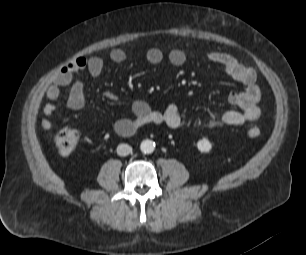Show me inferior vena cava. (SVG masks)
<instances>
[{"instance_id": "1", "label": "inferior vena cava", "mask_w": 306, "mask_h": 255, "mask_svg": "<svg viewBox=\"0 0 306 255\" xmlns=\"http://www.w3.org/2000/svg\"><path fill=\"white\" fill-rule=\"evenodd\" d=\"M132 152V147L128 144H119L117 147V154L119 156H127Z\"/></svg>"}]
</instances>
